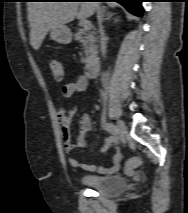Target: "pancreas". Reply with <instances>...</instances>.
I'll use <instances>...</instances> for the list:
<instances>
[{
    "label": "pancreas",
    "mask_w": 188,
    "mask_h": 213,
    "mask_svg": "<svg viewBox=\"0 0 188 213\" xmlns=\"http://www.w3.org/2000/svg\"><path fill=\"white\" fill-rule=\"evenodd\" d=\"M96 33L92 26L88 29L80 28L74 34L75 40L83 45L84 55L81 54V61L88 63L98 53Z\"/></svg>",
    "instance_id": "obj_1"
}]
</instances>
